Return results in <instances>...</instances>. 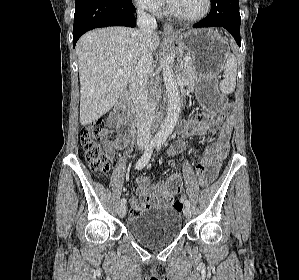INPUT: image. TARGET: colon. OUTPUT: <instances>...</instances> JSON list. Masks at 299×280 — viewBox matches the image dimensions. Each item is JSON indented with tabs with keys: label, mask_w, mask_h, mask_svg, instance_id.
Instances as JSON below:
<instances>
[{
	"label": "colon",
	"mask_w": 299,
	"mask_h": 280,
	"mask_svg": "<svg viewBox=\"0 0 299 280\" xmlns=\"http://www.w3.org/2000/svg\"><path fill=\"white\" fill-rule=\"evenodd\" d=\"M221 113H203L194 118L197 123L205 121L218 122L222 119ZM108 132L104 124L100 121L92 122L82 128L80 133L81 144L85 152V158L89 168L100 175H106L111 167V157L105 153L101 143L107 138ZM196 172L203 183L209 182L208 165L201 160L196 165ZM173 208L181 211L183 209V201L176 200L173 203ZM140 214V209L131 210L133 217Z\"/></svg>",
	"instance_id": "obj_1"
}]
</instances>
